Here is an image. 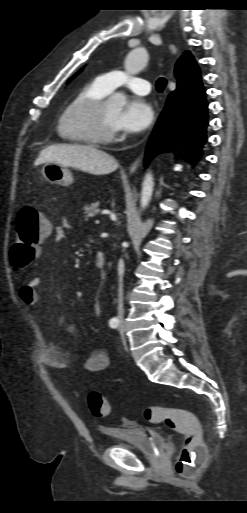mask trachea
Segmentation results:
<instances>
[{
  "label": "trachea",
  "mask_w": 247,
  "mask_h": 513,
  "mask_svg": "<svg viewBox=\"0 0 247 513\" xmlns=\"http://www.w3.org/2000/svg\"><path fill=\"white\" fill-rule=\"evenodd\" d=\"M167 81L165 78H159L156 82V89L158 92H162L166 87Z\"/></svg>",
  "instance_id": "1"
}]
</instances>
